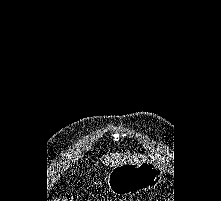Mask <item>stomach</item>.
Here are the masks:
<instances>
[{
    "label": "stomach",
    "instance_id": "0dacf381",
    "mask_svg": "<svg viewBox=\"0 0 221 201\" xmlns=\"http://www.w3.org/2000/svg\"><path fill=\"white\" fill-rule=\"evenodd\" d=\"M163 170L151 160L116 165L107 177L109 190L118 196H127L153 188L161 183Z\"/></svg>",
    "mask_w": 221,
    "mask_h": 201
}]
</instances>
